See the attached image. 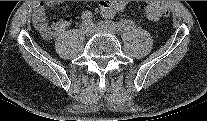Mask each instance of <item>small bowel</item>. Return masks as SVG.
Segmentation results:
<instances>
[{"label": "small bowel", "mask_w": 207, "mask_h": 121, "mask_svg": "<svg viewBox=\"0 0 207 121\" xmlns=\"http://www.w3.org/2000/svg\"><path fill=\"white\" fill-rule=\"evenodd\" d=\"M55 5V1L40 2L35 6L32 14L33 24L40 36L45 40H50L58 36L71 24L70 16L55 19L51 24L48 23L46 9ZM124 6L125 3L122 1H102L100 9L105 18H112L116 13L122 11Z\"/></svg>", "instance_id": "c3829d8e"}]
</instances>
